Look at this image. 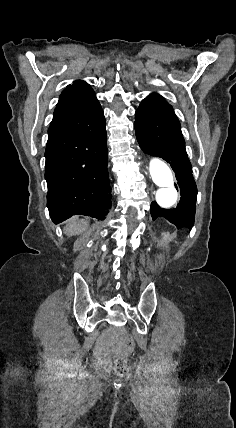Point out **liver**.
<instances>
[{"instance_id":"obj_1","label":"liver","mask_w":236,"mask_h":428,"mask_svg":"<svg viewBox=\"0 0 236 428\" xmlns=\"http://www.w3.org/2000/svg\"><path fill=\"white\" fill-rule=\"evenodd\" d=\"M87 224L83 222V220H76V218H72L69 220L68 224H66L64 228V234L66 236H76V234H80L85 230Z\"/></svg>"}]
</instances>
